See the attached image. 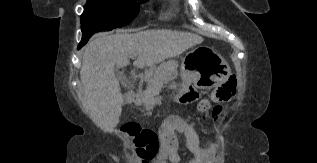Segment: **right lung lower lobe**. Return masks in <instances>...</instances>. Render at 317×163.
<instances>
[{
  "label": "right lung lower lobe",
  "mask_w": 317,
  "mask_h": 163,
  "mask_svg": "<svg viewBox=\"0 0 317 163\" xmlns=\"http://www.w3.org/2000/svg\"><path fill=\"white\" fill-rule=\"evenodd\" d=\"M83 45H84V43H80L78 46V49H80Z\"/></svg>",
  "instance_id": "1"
}]
</instances>
